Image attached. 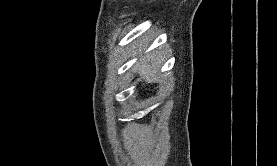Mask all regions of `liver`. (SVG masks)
Masks as SVG:
<instances>
[{
  "mask_svg": "<svg viewBox=\"0 0 277 166\" xmlns=\"http://www.w3.org/2000/svg\"><path fill=\"white\" fill-rule=\"evenodd\" d=\"M142 50L139 49L138 50V53H141ZM136 54V53H135ZM148 57V56H146ZM134 71L135 72H138V74L143 77L144 79H147V80H150V79H155L156 76H155V72L156 70L154 71H150L146 68V66L144 64L142 65H136L135 68H134Z\"/></svg>",
  "mask_w": 277,
  "mask_h": 166,
  "instance_id": "1",
  "label": "liver"
}]
</instances>
